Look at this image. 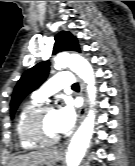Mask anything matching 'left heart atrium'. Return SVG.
Instances as JSON below:
<instances>
[{
  "label": "left heart atrium",
  "mask_w": 135,
  "mask_h": 166,
  "mask_svg": "<svg viewBox=\"0 0 135 166\" xmlns=\"http://www.w3.org/2000/svg\"><path fill=\"white\" fill-rule=\"evenodd\" d=\"M76 119L75 111L71 104H65L55 110L54 120L58 133L68 132L74 125Z\"/></svg>",
  "instance_id": "1"
}]
</instances>
